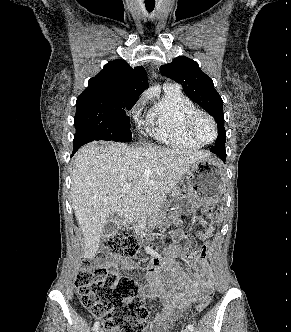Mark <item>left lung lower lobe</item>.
<instances>
[{"label": "left lung lower lobe", "instance_id": "left-lung-lower-lobe-1", "mask_svg": "<svg viewBox=\"0 0 291 332\" xmlns=\"http://www.w3.org/2000/svg\"><path fill=\"white\" fill-rule=\"evenodd\" d=\"M211 152L218 155L223 160V162H225V160H226L225 148H214V147H212Z\"/></svg>", "mask_w": 291, "mask_h": 332}]
</instances>
